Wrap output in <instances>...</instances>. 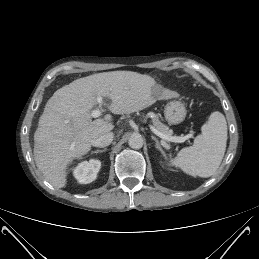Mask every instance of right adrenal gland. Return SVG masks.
Segmentation results:
<instances>
[{"instance_id": "1", "label": "right adrenal gland", "mask_w": 259, "mask_h": 259, "mask_svg": "<svg viewBox=\"0 0 259 259\" xmlns=\"http://www.w3.org/2000/svg\"><path fill=\"white\" fill-rule=\"evenodd\" d=\"M107 151V149L105 148V149H103V150H95V151H92L91 152V154H94V153H103V152H106Z\"/></svg>"}]
</instances>
